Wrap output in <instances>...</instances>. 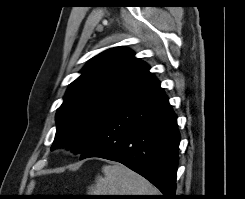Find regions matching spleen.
<instances>
[{
    "mask_svg": "<svg viewBox=\"0 0 245 199\" xmlns=\"http://www.w3.org/2000/svg\"><path fill=\"white\" fill-rule=\"evenodd\" d=\"M102 173L90 187L91 195H159L149 181L122 164L105 165Z\"/></svg>",
    "mask_w": 245,
    "mask_h": 199,
    "instance_id": "obj_1",
    "label": "spleen"
}]
</instances>
